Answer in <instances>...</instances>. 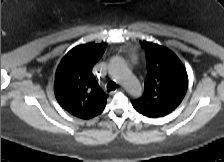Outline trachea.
<instances>
[{
    "instance_id": "trachea-1",
    "label": "trachea",
    "mask_w": 224,
    "mask_h": 162,
    "mask_svg": "<svg viewBox=\"0 0 224 162\" xmlns=\"http://www.w3.org/2000/svg\"><path fill=\"white\" fill-rule=\"evenodd\" d=\"M116 89V83L113 81L108 82L107 84V90L110 91H114Z\"/></svg>"
}]
</instances>
